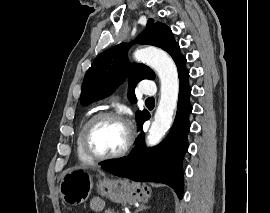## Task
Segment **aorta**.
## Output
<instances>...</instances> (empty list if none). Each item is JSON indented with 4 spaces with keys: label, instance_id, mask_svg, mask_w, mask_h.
Here are the masks:
<instances>
[{
    "label": "aorta",
    "instance_id": "1",
    "mask_svg": "<svg viewBox=\"0 0 270 213\" xmlns=\"http://www.w3.org/2000/svg\"><path fill=\"white\" fill-rule=\"evenodd\" d=\"M134 58L153 68L161 82L159 104L147 137V145L154 146L160 142L173 122L179 94L178 72L172 58L155 47L136 50Z\"/></svg>",
    "mask_w": 270,
    "mask_h": 213
}]
</instances>
